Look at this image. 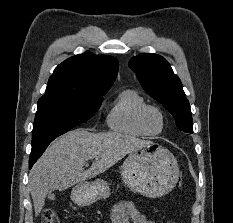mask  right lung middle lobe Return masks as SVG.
<instances>
[{
	"mask_svg": "<svg viewBox=\"0 0 233 223\" xmlns=\"http://www.w3.org/2000/svg\"><path fill=\"white\" fill-rule=\"evenodd\" d=\"M102 98L67 95L42 96L33 125L31 154L43 153L56 137L88 121Z\"/></svg>",
	"mask_w": 233,
	"mask_h": 223,
	"instance_id": "obj_1",
	"label": "right lung middle lobe"
}]
</instances>
